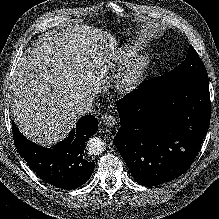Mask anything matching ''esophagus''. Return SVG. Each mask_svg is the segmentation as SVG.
<instances>
[{"label":"esophagus","instance_id":"esophagus-1","mask_svg":"<svg viewBox=\"0 0 219 219\" xmlns=\"http://www.w3.org/2000/svg\"><path fill=\"white\" fill-rule=\"evenodd\" d=\"M101 122L106 127H113L116 124V118L114 115L107 114L102 117Z\"/></svg>","mask_w":219,"mask_h":219}]
</instances>
